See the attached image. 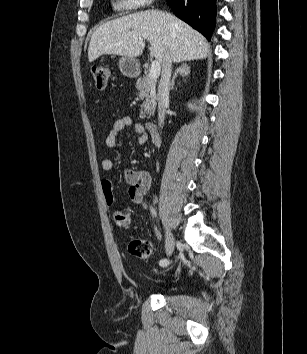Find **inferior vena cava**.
<instances>
[{
	"label": "inferior vena cava",
	"instance_id": "602c4592",
	"mask_svg": "<svg viewBox=\"0 0 307 354\" xmlns=\"http://www.w3.org/2000/svg\"><path fill=\"white\" fill-rule=\"evenodd\" d=\"M171 68H172V60L169 53H167L163 60L162 74L158 85V93H157L158 120H159L160 127H162V125L164 124L166 104L168 103L169 100Z\"/></svg>",
	"mask_w": 307,
	"mask_h": 354
}]
</instances>
